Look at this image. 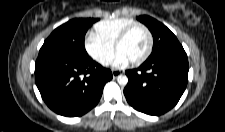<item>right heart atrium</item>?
Wrapping results in <instances>:
<instances>
[{"label": "right heart atrium", "mask_w": 225, "mask_h": 132, "mask_svg": "<svg viewBox=\"0 0 225 132\" xmlns=\"http://www.w3.org/2000/svg\"><path fill=\"white\" fill-rule=\"evenodd\" d=\"M87 54L100 65H109L114 56V47L89 34L84 42Z\"/></svg>", "instance_id": "d8ad5b80"}]
</instances>
